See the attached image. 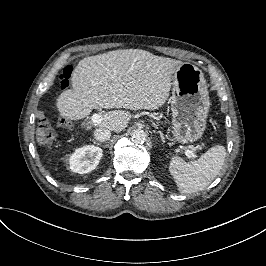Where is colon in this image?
Wrapping results in <instances>:
<instances>
[{"mask_svg": "<svg viewBox=\"0 0 266 266\" xmlns=\"http://www.w3.org/2000/svg\"><path fill=\"white\" fill-rule=\"evenodd\" d=\"M73 75V67H65L61 74V87L67 89L69 86V79ZM37 139L41 143L50 144L55 139V131L52 120L44 117L38 121L37 124Z\"/></svg>", "mask_w": 266, "mask_h": 266, "instance_id": "5ec220e1", "label": "colon"}]
</instances>
